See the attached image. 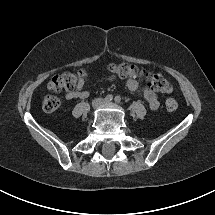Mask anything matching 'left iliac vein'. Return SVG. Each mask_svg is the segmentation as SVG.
<instances>
[{
    "label": "left iliac vein",
    "instance_id": "obj_1",
    "mask_svg": "<svg viewBox=\"0 0 215 215\" xmlns=\"http://www.w3.org/2000/svg\"><path fill=\"white\" fill-rule=\"evenodd\" d=\"M104 104H105V105H110L111 102H110V101H104Z\"/></svg>",
    "mask_w": 215,
    "mask_h": 215
}]
</instances>
